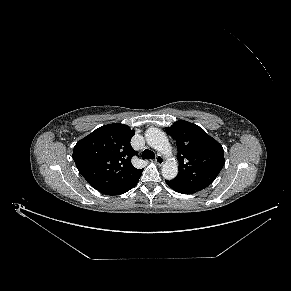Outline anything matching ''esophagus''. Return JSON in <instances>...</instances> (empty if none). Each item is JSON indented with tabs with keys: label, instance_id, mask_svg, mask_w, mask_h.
Segmentation results:
<instances>
[{
	"label": "esophagus",
	"instance_id": "obj_1",
	"mask_svg": "<svg viewBox=\"0 0 291 291\" xmlns=\"http://www.w3.org/2000/svg\"><path fill=\"white\" fill-rule=\"evenodd\" d=\"M155 162L158 165H162L164 163V158L161 155H157L156 158H155Z\"/></svg>",
	"mask_w": 291,
	"mask_h": 291
}]
</instances>
